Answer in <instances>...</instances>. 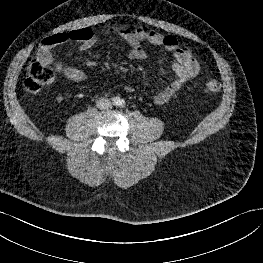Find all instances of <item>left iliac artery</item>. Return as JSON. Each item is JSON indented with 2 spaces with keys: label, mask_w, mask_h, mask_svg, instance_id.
<instances>
[{
  "label": "left iliac artery",
  "mask_w": 263,
  "mask_h": 263,
  "mask_svg": "<svg viewBox=\"0 0 263 263\" xmlns=\"http://www.w3.org/2000/svg\"><path fill=\"white\" fill-rule=\"evenodd\" d=\"M121 106H123L124 105V102H121V104H120Z\"/></svg>",
  "instance_id": "obj_1"
}]
</instances>
